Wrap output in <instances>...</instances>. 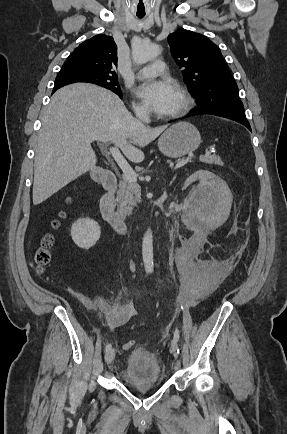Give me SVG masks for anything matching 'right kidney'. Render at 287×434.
Listing matches in <instances>:
<instances>
[{"label": "right kidney", "mask_w": 287, "mask_h": 434, "mask_svg": "<svg viewBox=\"0 0 287 434\" xmlns=\"http://www.w3.org/2000/svg\"><path fill=\"white\" fill-rule=\"evenodd\" d=\"M101 235V228L90 218L78 219L71 227V237L74 243L82 249H90Z\"/></svg>", "instance_id": "1"}]
</instances>
